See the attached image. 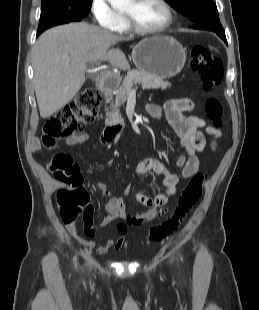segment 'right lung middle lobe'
Returning <instances> with one entry per match:
<instances>
[{"label": "right lung middle lobe", "mask_w": 259, "mask_h": 310, "mask_svg": "<svg viewBox=\"0 0 259 310\" xmlns=\"http://www.w3.org/2000/svg\"><path fill=\"white\" fill-rule=\"evenodd\" d=\"M92 0L42 1L38 34L50 27L81 21L91 9Z\"/></svg>", "instance_id": "dd1d6c3e"}]
</instances>
